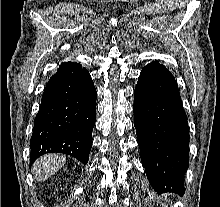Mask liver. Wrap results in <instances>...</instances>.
<instances>
[{"label":"liver","instance_id":"1","mask_svg":"<svg viewBox=\"0 0 220 207\" xmlns=\"http://www.w3.org/2000/svg\"><path fill=\"white\" fill-rule=\"evenodd\" d=\"M65 163L66 158L63 155L47 154L36 160L32 172L36 180L42 182L54 175Z\"/></svg>","mask_w":220,"mask_h":207}]
</instances>
